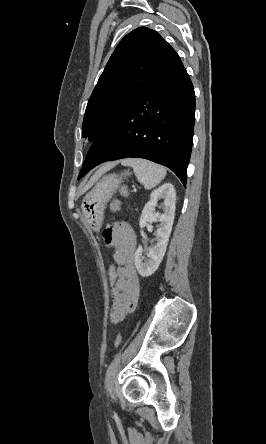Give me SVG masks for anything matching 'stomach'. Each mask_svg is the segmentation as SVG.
I'll return each mask as SVG.
<instances>
[{
    "instance_id": "stomach-1",
    "label": "stomach",
    "mask_w": 266,
    "mask_h": 444,
    "mask_svg": "<svg viewBox=\"0 0 266 444\" xmlns=\"http://www.w3.org/2000/svg\"><path fill=\"white\" fill-rule=\"evenodd\" d=\"M129 172H123L121 175H105L95 187L86 194L82 201L81 209L85 221L94 229H99L104 218V208L107 202L116 193L123 178L128 176Z\"/></svg>"
}]
</instances>
